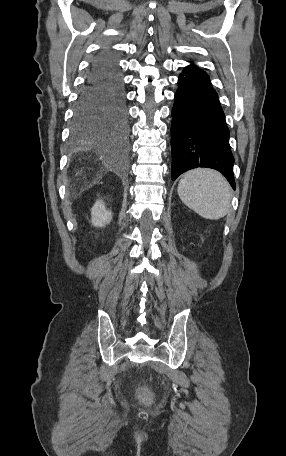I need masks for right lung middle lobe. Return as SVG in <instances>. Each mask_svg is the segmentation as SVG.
<instances>
[{
  "label": "right lung middle lobe",
  "instance_id": "1",
  "mask_svg": "<svg viewBox=\"0 0 286 456\" xmlns=\"http://www.w3.org/2000/svg\"><path fill=\"white\" fill-rule=\"evenodd\" d=\"M107 130H113V131H116L117 133L121 134L122 140H125L128 135V130H127L126 124H117L112 127H109L107 125H98V124L92 123V124L88 125L87 127L80 129L77 132L78 133H91V132H102V131H107Z\"/></svg>",
  "mask_w": 286,
  "mask_h": 456
}]
</instances>
